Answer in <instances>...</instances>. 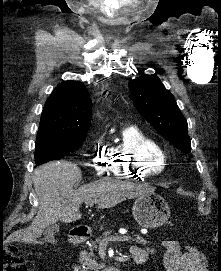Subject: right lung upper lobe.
<instances>
[{
  "mask_svg": "<svg viewBox=\"0 0 221 271\" xmlns=\"http://www.w3.org/2000/svg\"><path fill=\"white\" fill-rule=\"evenodd\" d=\"M92 102L78 81L59 84L49 96L41 115L38 134L85 135L91 124Z\"/></svg>",
  "mask_w": 221,
  "mask_h": 271,
  "instance_id": "right-lung-upper-lobe-1",
  "label": "right lung upper lobe"
}]
</instances>
